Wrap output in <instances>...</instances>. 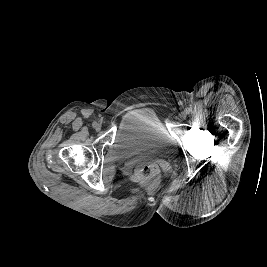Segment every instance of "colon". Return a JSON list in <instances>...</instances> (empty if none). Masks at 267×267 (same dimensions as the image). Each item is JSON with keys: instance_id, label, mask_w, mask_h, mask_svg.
Instances as JSON below:
<instances>
[{"instance_id": "colon-1", "label": "colon", "mask_w": 267, "mask_h": 267, "mask_svg": "<svg viewBox=\"0 0 267 267\" xmlns=\"http://www.w3.org/2000/svg\"><path fill=\"white\" fill-rule=\"evenodd\" d=\"M138 181L149 191H155L159 183V168L154 163H141L135 169Z\"/></svg>"}]
</instances>
